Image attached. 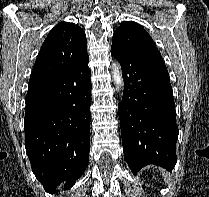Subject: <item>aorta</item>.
I'll return each mask as SVG.
<instances>
[{
    "mask_svg": "<svg viewBox=\"0 0 209 197\" xmlns=\"http://www.w3.org/2000/svg\"><path fill=\"white\" fill-rule=\"evenodd\" d=\"M112 77L116 88L119 90L124 86V80L122 77V72L118 63L112 64Z\"/></svg>",
    "mask_w": 209,
    "mask_h": 197,
    "instance_id": "1",
    "label": "aorta"
}]
</instances>
